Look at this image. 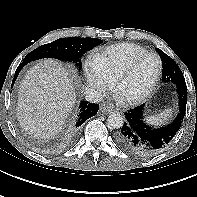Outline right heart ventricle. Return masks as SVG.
Returning a JSON list of instances; mask_svg holds the SVG:
<instances>
[{
	"label": "right heart ventricle",
	"instance_id": "1",
	"mask_svg": "<svg viewBox=\"0 0 197 197\" xmlns=\"http://www.w3.org/2000/svg\"><path fill=\"white\" fill-rule=\"evenodd\" d=\"M145 52L147 50L140 45L119 43L93 54L91 65L111 80H114L135 56Z\"/></svg>",
	"mask_w": 197,
	"mask_h": 197
}]
</instances>
